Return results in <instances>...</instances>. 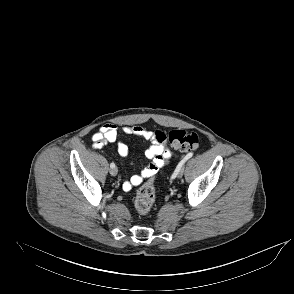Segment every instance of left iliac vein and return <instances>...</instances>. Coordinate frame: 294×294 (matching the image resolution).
I'll use <instances>...</instances> for the list:
<instances>
[{"label":"left iliac vein","instance_id":"obj_1","mask_svg":"<svg viewBox=\"0 0 294 294\" xmlns=\"http://www.w3.org/2000/svg\"><path fill=\"white\" fill-rule=\"evenodd\" d=\"M183 173H184V167H182L180 169V171L177 173L176 177L181 178L183 176Z\"/></svg>","mask_w":294,"mask_h":294}]
</instances>
